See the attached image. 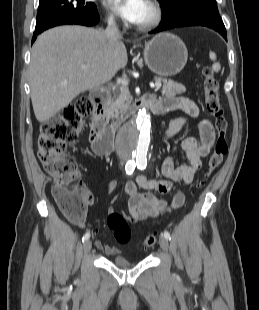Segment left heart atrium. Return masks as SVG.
<instances>
[{
	"mask_svg": "<svg viewBox=\"0 0 259 310\" xmlns=\"http://www.w3.org/2000/svg\"><path fill=\"white\" fill-rule=\"evenodd\" d=\"M144 2V0H108L112 10L131 23L138 21Z\"/></svg>",
	"mask_w": 259,
	"mask_h": 310,
	"instance_id": "left-heart-atrium-1",
	"label": "left heart atrium"
}]
</instances>
